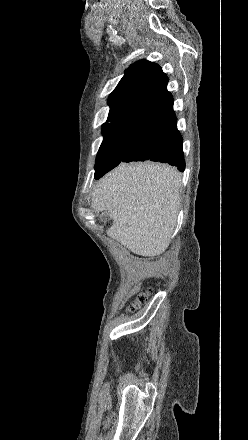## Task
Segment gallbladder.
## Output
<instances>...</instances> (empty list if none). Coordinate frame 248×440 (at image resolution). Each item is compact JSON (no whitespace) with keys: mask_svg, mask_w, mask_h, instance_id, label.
<instances>
[{"mask_svg":"<svg viewBox=\"0 0 248 440\" xmlns=\"http://www.w3.org/2000/svg\"><path fill=\"white\" fill-rule=\"evenodd\" d=\"M110 218L111 217H110L108 211L105 210L102 212V214H101L102 221L107 222V221H109Z\"/></svg>","mask_w":248,"mask_h":440,"instance_id":"gallbladder-1","label":"gallbladder"}]
</instances>
